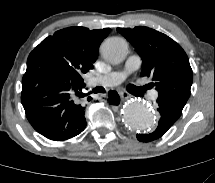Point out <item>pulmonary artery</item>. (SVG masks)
<instances>
[{
    "label": "pulmonary artery",
    "instance_id": "e3ab8cb5",
    "mask_svg": "<svg viewBox=\"0 0 215 183\" xmlns=\"http://www.w3.org/2000/svg\"><path fill=\"white\" fill-rule=\"evenodd\" d=\"M141 64V58L138 55L130 56L123 69L120 71L112 72L106 76H99L95 79V85H102L104 87H114L121 84L132 72L137 70ZM158 96L156 90L151 91L150 97L155 100Z\"/></svg>",
    "mask_w": 215,
    "mask_h": 183
}]
</instances>
